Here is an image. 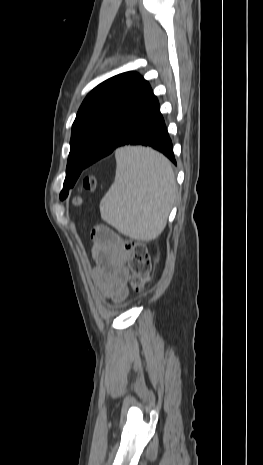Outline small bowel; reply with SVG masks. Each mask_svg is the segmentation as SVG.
Returning a JSON list of instances; mask_svg holds the SVG:
<instances>
[{
    "label": "small bowel",
    "mask_w": 263,
    "mask_h": 465,
    "mask_svg": "<svg viewBox=\"0 0 263 465\" xmlns=\"http://www.w3.org/2000/svg\"><path fill=\"white\" fill-rule=\"evenodd\" d=\"M93 255L97 263L96 279L106 296L122 301L127 296V255L123 253L112 234L104 228L92 231Z\"/></svg>",
    "instance_id": "1"
}]
</instances>
